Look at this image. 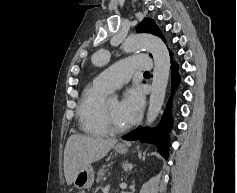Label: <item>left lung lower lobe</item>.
<instances>
[{
    "mask_svg": "<svg viewBox=\"0 0 237 193\" xmlns=\"http://www.w3.org/2000/svg\"><path fill=\"white\" fill-rule=\"evenodd\" d=\"M172 56V53L170 52ZM178 65L172 64V87L180 82V77L177 74ZM172 127L171 117V100L168 101L161 123L155 129L142 128L141 126L135 131L124 135L125 140H140L144 143H152L158 147V152L166 159L168 157L169 137L168 132Z\"/></svg>",
    "mask_w": 237,
    "mask_h": 193,
    "instance_id": "obj_1",
    "label": "left lung lower lobe"
}]
</instances>
